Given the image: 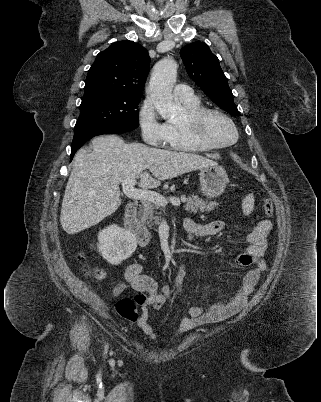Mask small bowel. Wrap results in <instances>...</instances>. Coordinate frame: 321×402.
<instances>
[{"label": "small bowel", "instance_id": "obj_1", "mask_svg": "<svg viewBox=\"0 0 321 402\" xmlns=\"http://www.w3.org/2000/svg\"><path fill=\"white\" fill-rule=\"evenodd\" d=\"M184 229L188 239L210 237L220 234L224 229V223L221 221L199 223L193 219H186ZM271 229V222L263 219L249 233L246 251L236 257V263L241 266H251V269L245 273L240 286L232 297L228 301L211 304L206 311L199 305L189 307L180 322L178 333L186 332L199 325L222 321L245 306L249 295L259 281L260 275L266 270L264 254L267 249V236ZM184 277L185 268L181 265L177 270L176 276V296H179L183 291ZM127 287L148 294V298L141 308L137 324L148 337L155 339L157 335L149 320L150 307L160 309L170 297V288L163 286L159 289L157 282L153 278L142 273V267L138 263H132L127 267L125 281L116 285L114 294H120Z\"/></svg>", "mask_w": 321, "mask_h": 402}]
</instances>
